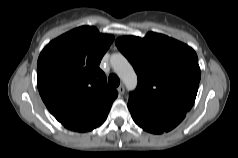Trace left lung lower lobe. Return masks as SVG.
I'll return each mask as SVG.
<instances>
[{
	"mask_svg": "<svg viewBox=\"0 0 238 158\" xmlns=\"http://www.w3.org/2000/svg\"><path fill=\"white\" fill-rule=\"evenodd\" d=\"M128 108L135 123L144 130L160 134L176 127L186 116L188 110L173 109L166 111H146L131 102Z\"/></svg>",
	"mask_w": 238,
	"mask_h": 158,
	"instance_id": "1",
	"label": "left lung lower lobe"
}]
</instances>
